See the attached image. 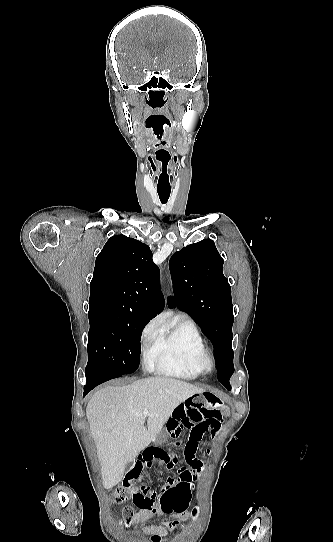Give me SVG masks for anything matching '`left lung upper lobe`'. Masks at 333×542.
<instances>
[{
	"instance_id": "1",
	"label": "left lung upper lobe",
	"mask_w": 333,
	"mask_h": 542,
	"mask_svg": "<svg viewBox=\"0 0 333 542\" xmlns=\"http://www.w3.org/2000/svg\"><path fill=\"white\" fill-rule=\"evenodd\" d=\"M223 259L214 241L205 239L173 254L169 261L174 297L168 305L188 312L212 342L218 380L234 372L231 287L223 275Z\"/></svg>"
}]
</instances>
